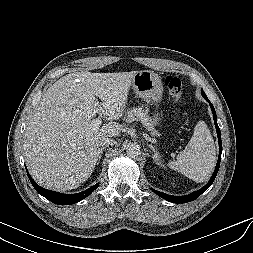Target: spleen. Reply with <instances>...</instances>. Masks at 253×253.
<instances>
[{"label": "spleen", "instance_id": "3e777b00", "mask_svg": "<svg viewBox=\"0 0 253 253\" xmlns=\"http://www.w3.org/2000/svg\"><path fill=\"white\" fill-rule=\"evenodd\" d=\"M215 162L216 147L210 130L204 121H199L184 151L168 166L195 182H203L211 175Z\"/></svg>", "mask_w": 253, "mask_h": 253}]
</instances>
